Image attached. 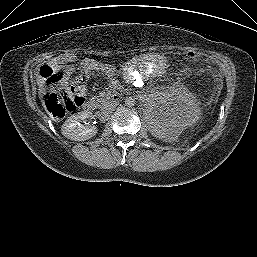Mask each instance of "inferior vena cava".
Here are the masks:
<instances>
[{
  "label": "inferior vena cava",
  "mask_w": 257,
  "mask_h": 257,
  "mask_svg": "<svg viewBox=\"0 0 257 257\" xmlns=\"http://www.w3.org/2000/svg\"><path fill=\"white\" fill-rule=\"evenodd\" d=\"M114 106H115V102H113V101H108V102L104 103V105L102 106V110H103V111H109V110H111Z\"/></svg>",
  "instance_id": "obj_1"
}]
</instances>
